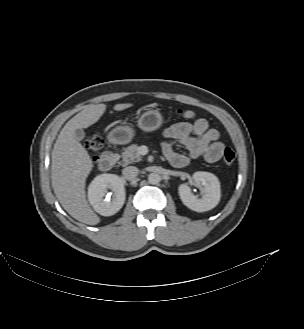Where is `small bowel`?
Masks as SVG:
<instances>
[{"instance_id": "1", "label": "small bowel", "mask_w": 304, "mask_h": 329, "mask_svg": "<svg viewBox=\"0 0 304 329\" xmlns=\"http://www.w3.org/2000/svg\"><path fill=\"white\" fill-rule=\"evenodd\" d=\"M163 135L168 141L163 144L162 152L173 167H185L199 158L215 163L222 157L224 145L218 141L219 132L211 128L206 119L173 124L164 130ZM175 144L183 145L187 153L175 151Z\"/></svg>"}]
</instances>
